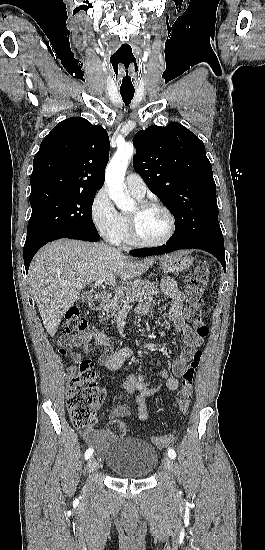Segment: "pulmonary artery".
<instances>
[{"mask_svg":"<svg viewBox=\"0 0 265 550\" xmlns=\"http://www.w3.org/2000/svg\"><path fill=\"white\" fill-rule=\"evenodd\" d=\"M128 191L138 197L143 198L145 196L147 187L144 180L136 173H130L125 180Z\"/></svg>","mask_w":265,"mask_h":550,"instance_id":"1","label":"pulmonary artery"}]
</instances>
